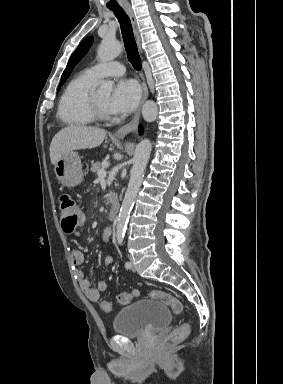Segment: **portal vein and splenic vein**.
<instances>
[{"label": "portal vein and splenic vein", "instance_id": "portal-vein-and-splenic-vein-1", "mask_svg": "<svg viewBox=\"0 0 283 384\" xmlns=\"http://www.w3.org/2000/svg\"><path fill=\"white\" fill-rule=\"evenodd\" d=\"M98 176H99V178H101V180H103V178H106L105 170H99Z\"/></svg>", "mask_w": 283, "mask_h": 384}]
</instances>
